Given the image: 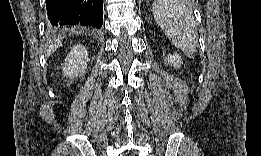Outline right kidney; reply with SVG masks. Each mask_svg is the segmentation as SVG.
Here are the masks:
<instances>
[{
  "label": "right kidney",
  "instance_id": "1",
  "mask_svg": "<svg viewBox=\"0 0 261 156\" xmlns=\"http://www.w3.org/2000/svg\"><path fill=\"white\" fill-rule=\"evenodd\" d=\"M88 61L86 48L82 45L74 46L63 64V75L70 79L81 77L86 72Z\"/></svg>",
  "mask_w": 261,
  "mask_h": 156
}]
</instances>
